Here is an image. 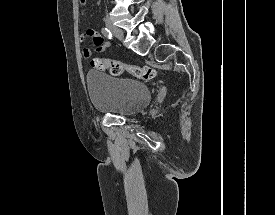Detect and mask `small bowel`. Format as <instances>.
<instances>
[{
  "label": "small bowel",
  "mask_w": 275,
  "mask_h": 215,
  "mask_svg": "<svg viewBox=\"0 0 275 215\" xmlns=\"http://www.w3.org/2000/svg\"><path fill=\"white\" fill-rule=\"evenodd\" d=\"M86 37H89L92 39L93 44L99 49V50H105L111 46L110 42H105L103 37L95 30H87L84 34L80 36V41L83 42ZM82 55L85 58H89L91 55V50L87 47L82 48Z\"/></svg>",
  "instance_id": "obj_1"
}]
</instances>
